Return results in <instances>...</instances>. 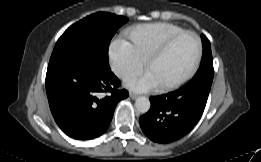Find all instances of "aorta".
<instances>
[{"label":"aorta","mask_w":261,"mask_h":162,"mask_svg":"<svg viewBox=\"0 0 261 162\" xmlns=\"http://www.w3.org/2000/svg\"><path fill=\"white\" fill-rule=\"evenodd\" d=\"M150 101L148 98L146 97H138L135 101V107L137 109L138 112L140 113H146L149 111L150 109Z\"/></svg>","instance_id":"aorta-1"}]
</instances>
